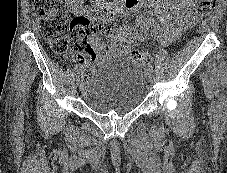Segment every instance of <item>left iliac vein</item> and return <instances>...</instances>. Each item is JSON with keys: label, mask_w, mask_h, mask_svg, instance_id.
<instances>
[{"label": "left iliac vein", "mask_w": 227, "mask_h": 173, "mask_svg": "<svg viewBox=\"0 0 227 173\" xmlns=\"http://www.w3.org/2000/svg\"><path fill=\"white\" fill-rule=\"evenodd\" d=\"M144 75L148 82H150L152 80V71L146 69Z\"/></svg>", "instance_id": "obj_1"}]
</instances>
